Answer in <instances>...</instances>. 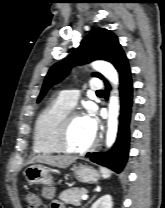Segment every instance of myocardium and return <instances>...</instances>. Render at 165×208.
Listing matches in <instances>:
<instances>
[{
  "instance_id": "myocardium-1",
  "label": "myocardium",
  "mask_w": 165,
  "mask_h": 208,
  "mask_svg": "<svg viewBox=\"0 0 165 208\" xmlns=\"http://www.w3.org/2000/svg\"><path fill=\"white\" fill-rule=\"evenodd\" d=\"M82 114L78 111L70 110L63 117L60 125L58 127L56 142L58 149L61 153L83 155L92 151L97 145V139L94 138L93 141L85 148L82 149H73L67 143V133L70 128V125L74 118L80 117Z\"/></svg>"
}]
</instances>
